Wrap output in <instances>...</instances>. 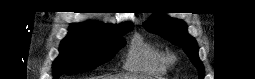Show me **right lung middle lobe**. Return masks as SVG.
I'll return each instance as SVG.
<instances>
[{"label": "right lung middle lobe", "instance_id": "dd1d6c3e", "mask_svg": "<svg viewBox=\"0 0 255 79\" xmlns=\"http://www.w3.org/2000/svg\"><path fill=\"white\" fill-rule=\"evenodd\" d=\"M132 29L133 26L122 29L115 38L69 33L61 42L60 56L53 64L54 79L71 71L92 70L109 61L125 45L122 36Z\"/></svg>", "mask_w": 255, "mask_h": 79}]
</instances>
